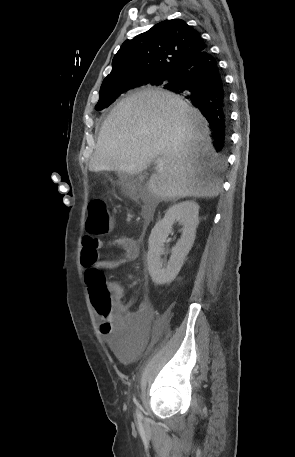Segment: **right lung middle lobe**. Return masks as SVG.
Masks as SVG:
<instances>
[{
  "instance_id": "1",
  "label": "right lung middle lobe",
  "mask_w": 295,
  "mask_h": 457,
  "mask_svg": "<svg viewBox=\"0 0 295 457\" xmlns=\"http://www.w3.org/2000/svg\"><path fill=\"white\" fill-rule=\"evenodd\" d=\"M174 76H167V77H160V78H153L150 79L144 83H141L137 85L136 87L142 86V85H156V86H161L166 89L174 80ZM135 88V87H134ZM133 89V88H132ZM128 90H124V88H118V89H106L103 91H100L99 95V101L95 106V109L100 111L104 108H107L109 105H111L120 95L126 93Z\"/></svg>"
}]
</instances>
